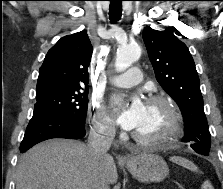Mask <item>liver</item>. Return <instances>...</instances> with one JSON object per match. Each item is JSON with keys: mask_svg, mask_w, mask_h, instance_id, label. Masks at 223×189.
<instances>
[{"mask_svg": "<svg viewBox=\"0 0 223 189\" xmlns=\"http://www.w3.org/2000/svg\"><path fill=\"white\" fill-rule=\"evenodd\" d=\"M117 182L113 158L93 156L79 141L52 139L32 147L20 159L16 189H95L99 179Z\"/></svg>", "mask_w": 223, "mask_h": 189, "instance_id": "6515ba94", "label": "liver"}]
</instances>
